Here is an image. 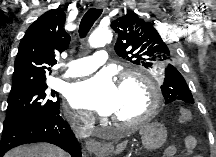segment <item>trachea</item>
I'll return each instance as SVG.
<instances>
[{
	"label": "trachea",
	"instance_id": "obj_1",
	"mask_svg": "<svg viewBox=\"0 0 216 157\" xmlns=\"http://www.w3.org/2000/svg\"><path fill=\"white\" fill-rule=\"evenodd\" d=\"M102 9L98 8H90L85 15L83 16L80 27H79V35L81 38L85 37L95 21L99 18L102 13Z\"/></svg>",
	"mask_w": 216,
	"mask_h": 157
}]
</instances>
